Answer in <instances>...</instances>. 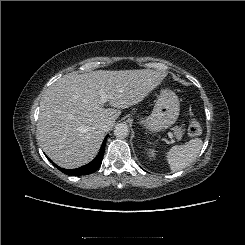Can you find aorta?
<instances>
[{"instance_id": "1", "label": "aorta", "mask_w": 245, "mask_h": 245, "mask_svg": "<svg viewBox=\"0 0 245 245\" xmlns=\"http://www.w3.org/2000/svg\"><path fill=\"white\" fill-rule=\"evenodd\" d=\"M114 135L117 138L124 139L129 135V127L126 123H119L114 128Z\"/></svg>"}]
</instances>
